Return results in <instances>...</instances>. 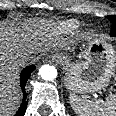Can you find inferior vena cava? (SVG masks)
I'll return each instance as SVG.
<instances>
[{
  "label": "inferior vena cava",
  "mask_w": 116,
  "mask_h": 116,
  "mask_svg": "<svg viewBox=\"0 0 116 116\" xmlns=\"http://www.w3.org/2000/svg\"><path fill=\"white\" fill-rule=\"evenodd\" d=\"M32 59H33V57L31 56V54L24 53V54L20 55V57L18 59V63H19V65H24V64L30 62Z\"/></svg>",
  "instance_id": "inferior-vena-cava-1"
}]
</instances>
